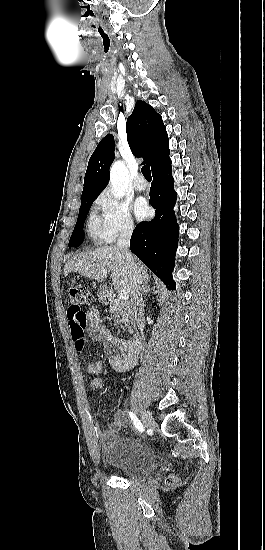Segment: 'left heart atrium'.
<instances>
[{"mask_svg":"<svg viewBox=\"0 0 265 550\" xmlns=\"http://www.w3.org/2000/svg\"><path fill=\"white\" fill-rule=\"evenodd\" d=\"M134 212L138 219H143L149 214V207L144 199H138L134 204Z\"/></svg>","mask_w":265,"mask_h":550,"instance_id":"obj_1","label":"left heart atrium"}]
</instances>
